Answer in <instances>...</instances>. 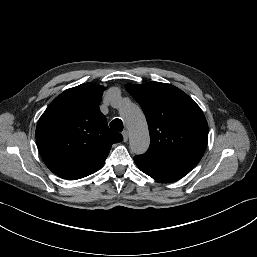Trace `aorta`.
Returning a JSON list of instances; mask_svg holds the SVG:
<instances>
[{
  "mask_svg": "<svg viewBox=\"0 0 257 257\" xmlns=\"http://www.w3.org/2000/svg\"><path fill=\"white\" fill-rule=\"evenodd\" d=\"M120 113L130 132V148L135 154H143L149 147L150 137L145 116L137 105L122 101Z\"/></svg>",
  "mask_w": 257,
  "mask_h": 257,
  "instance_id": "obj_1",
  "label": "aorta"
}]
</instances>
